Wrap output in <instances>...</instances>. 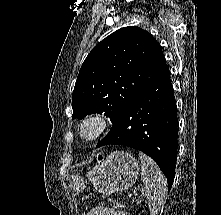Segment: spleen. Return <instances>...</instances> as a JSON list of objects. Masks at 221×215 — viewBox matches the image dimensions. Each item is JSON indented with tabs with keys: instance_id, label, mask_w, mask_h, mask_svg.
I'll return each instance as SVG.
<instances>
[{
	"instance_id": "1",
	"label": "spleen",
	"mask_w": 221,
	"mask_h": 215,
	"mask_svg": "<svg viewBox=\"0 0 221 215\" xmlns=\"http://www.w3.org/2000/svg\"><path fill=\"white\" fill-rule=\"evenodd\" d=\"M141 160L142 194L148 201L151 215H156L167 191V181L158 165L148 156L139 153Z\"/></svg>"
}]
</instances>
